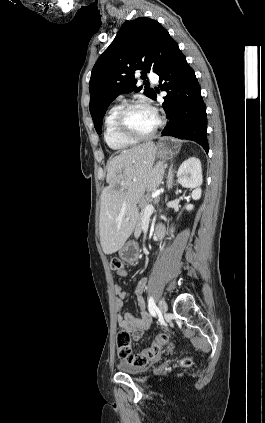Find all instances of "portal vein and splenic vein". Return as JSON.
I'll use <instances>...</instances> for the list:
<instances>
[{"mask_svg":"<svg viewBox=\"0 0 265 423\" xmlns=\"http://www.w3.org/2000/svg\"><path fill=\"white\" fill-rule=\"evenodd\" d=\"M165 201H167V198ZM153 212H154L153 205L152 204L147 205L145 208V218L147 219V222L149 221V217Z\"/></svg>","mask_w":265,"mask_h":423,"instance_id":"18ae733b","label":"portal vein and splenic vein"}]
</instances>
